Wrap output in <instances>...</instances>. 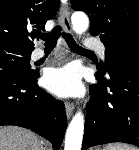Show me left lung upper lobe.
<instances>
[{
  "instance_id": "left-lung-upper-lobe-1",
  "label": "left lung upper lobe",
  "mask_w": 139,
  "mask_h": 150,
  "mask_svg": "<svg viewBox=\"0 0 139 150\" xmlns=\"http://www.w3.org/2000/svg\"><path fill=\"white\" fill-rule=\"evenodd\" d=\"M71 4L88 14L90 33L105 45L106 67L120 50L139 42V0H71Z\"/></svg>"
}]
</instances>
